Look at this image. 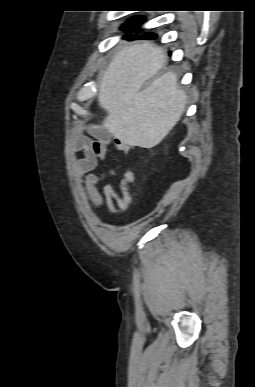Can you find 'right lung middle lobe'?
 Segmentation results:
<instances>
[{"label": "right lung middle lobe", "mask_w": 255, "mask_h": 387, "mask_svg": "<svg viewBox=\"0 0 255 387\" xmlns=\"http://www.w3.org/2000/svg\"><path fill=\"white\" fill-rule=\"evenodd\" d=\"M145 19L143 17L135 16L128 21L126 25L122 27L123 30L129 31L137 28ZM135 32H138L137 30ZM150 36H155L150 33Z\"/></svg>", "instance_id": "obj_1"}]
</instances>
